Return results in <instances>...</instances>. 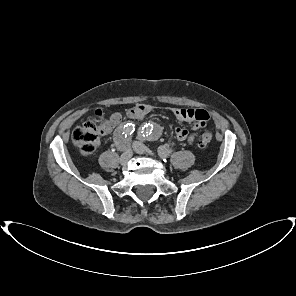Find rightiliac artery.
Segmentation results:
<instances>
[{"instance_id": "1", "label": "right iliac artery", "mask_w": 296, "mask_h": 296, "mask_svg": "<svg viewBox=\"0 0 296 296\" xmlns=\"http://www.w3.org/2000/svg\"><path fill=\"white\" fill-rule=\"evenodd\" d=\"M135 130V125L132 123H127L118 129L116 134V144L120 150H124L129 145V140L131 135Z\"/></svg>"}]
</instances>
